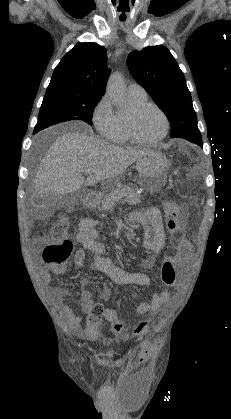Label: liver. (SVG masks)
I'll use <instances>...</instances> for the list:
<instances>
[{
    "label": "liver",
    "mask_w": 231,
    "mask_h": 419,
    "mask_svg": "<svg viewBox=\"0 0 231 419\" xmlns=\"http://www.w3.org/2000/svg\"><path fill=\"white\" fill-rule=\"evenodd\" d=\"M150 152L110 144L91 134L68 132L58 137L40 163L36 179L37 193L65 195L100 181H112L131 164ZM92 173L85 180L83 173Z\"/></svg>",
    "instance_id": "1"
}]
</instances>
